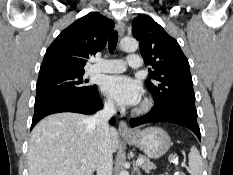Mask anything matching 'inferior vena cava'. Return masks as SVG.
<instances>
[{
	"instance_id": "602c4592",
	"label": "inferior vena cava",
	"mask_w": 233,
	"mask_h": 175,
	"mask_svg": "<svg viewBox=\"0 0 233 175\" xmlns=\"http://www.w3.org/2000/svg\"><path fill=\"white\" fill-rule=\"evenodd\" d=\"M116 113L114 103L110 100L104 103V108L90 117V124L97 130L99 156L97 175H112L113 156L109 137V119Z\"/></svg>"
}]
</instances>
